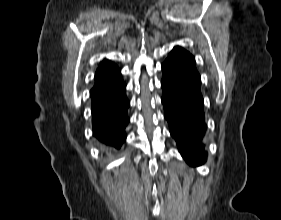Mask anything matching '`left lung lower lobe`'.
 I'll list each match as a JSON object with an SVG mask.
<instances>
[{
	"instance_id": "0a47b994",
	"label": "left lung lower lobe",
	"mask_w": 281,
	"mask_h": 220,
	"mask_svg": "<svg viewBox=\"0 0 281 220\" xmlns=\"http://www.w3.org/2000/svg\"><path fill=\"white\" fill-rule=\"evenodd\" d=\"M164 115L182 157L191 166L206 161L203 136L206 131L201 78L194 57L175 47L162 64Z\"/></svg>"
}]
</instances>
